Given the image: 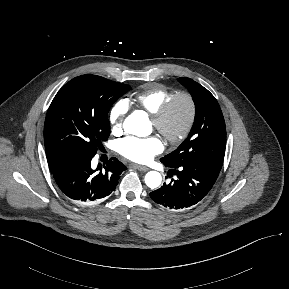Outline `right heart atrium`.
<instances>
[{"mask_svg":"<svg viewBox=\"0 0 289 289\" xmlns=\"http://www.w3.org/2000/svg\"><path fill=\"white\" fill-rule=\"evenodd\" d=\"M128 110L129 103L125 99H119L111 106L108 117L114 133L119 134L122 132L123 120Z\"/></svg>","mask_w":289,"mask_h":289,"instance_id":"obj_1","label":"right heart atrium"}]
</instances>
